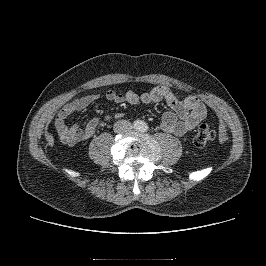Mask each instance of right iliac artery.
Listing matches in <instances>:
<instances>
[{
  "instance_id": "obj_1",
  "label": "right iliac artery",
  "mask_w": 266,
  "mask_h": 266,
  "mask_svg": "<svg viewBox=\"0 0 266 266\" xmlns=\"http://www.w3.org/2000/svg\"><path fill=\"white\" fill-rule=\"evenodd\" d=\"M141 125H142V122L139 121V120H136V121H134V123H133V127H134L135 129H140Z\"/></svg>"
}]
</instances>
